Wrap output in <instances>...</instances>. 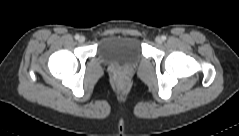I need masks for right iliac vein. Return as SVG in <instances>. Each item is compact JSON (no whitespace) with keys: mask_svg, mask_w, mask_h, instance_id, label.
I'll list each match as a JSON object with an SVG mask.
<instances>
[{"mask_svg":"<svg viewBox=\"0 0 239 136\" xmlns=\"http://www.w3.org/2000/svg\"><path fill=\"white\" fill-rule=\"evenodd\" d=\"M79 42H80V43H84V42H85V37H84V36H81V37L79 38Z\"/></svg>","mask_w":239,"mask_h":136,"instance_id":"63e3f726","label":"right iliac vein"}]
</instances>
